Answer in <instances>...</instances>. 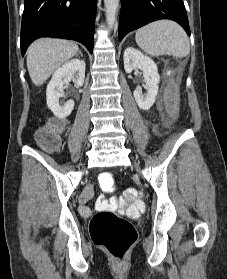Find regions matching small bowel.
<instances>
[{
  "label": "small bowel",
  "mask_w": 227,
  "mask_h": 279,
  "mask_svg": "<svg viewBox=\"0 0 227 279\" xmlns=\"http://www.w3.org/2000/svg\"><path fill=\"white\" fill-rule=\"evenodd\" d=\"M96 191H98V187L96 185H89L83 192L80 197L81 205L78 207V211L81 215L88 216L91 214L93 208L87 205L86 203L90 202ZM145 208V204L141 200H134L133 197L129 198L125 196L122 197H111L107 200L104 195L100 194L94 203L95 210H118L122 213H126L128 216L136 217L142 212Z\"/></svg>",
  "instance_id": "1"
}]
</instances>
